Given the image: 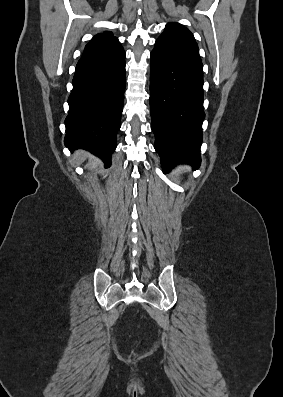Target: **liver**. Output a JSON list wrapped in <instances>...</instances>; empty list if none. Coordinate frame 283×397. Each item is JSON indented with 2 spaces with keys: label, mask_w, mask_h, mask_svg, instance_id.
<instances>
[{
  "label": "liver",
  "mask_w": 283,
  "mask_h": 397,
  "mask_svg": "<svg viewBox=\"0 0 283 397\" xmlns=\"http://www.w3.org/2000/svg\"><path fill=\"white\" fill-rule=\"evenodd\" d=\"M88 154L85 151L78 150L73 155V163L75 165L81 164L84 160H86Z\"/></svg>",
  "instance_id": "obj_1"
}]
</instances>
